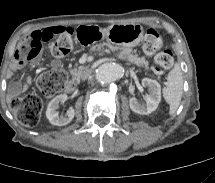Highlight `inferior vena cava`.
Wrapping results in <instances>:
<instances>
[{
    "instance_id": "1",
    "label": "inferior vena cava",
    "mask_w": 215,
    "mask_h": 183,
    "mask_svg": "<svg viewBox=\"0 0 215 183\" xmlns=\"http://www.w3.org/2000/svg\"><path fill=\"white\" fill-rule=\"evenodd\" d=\"M92 71L90 69H86L81 74V79L86 80L91 77Z\"/></svg>"
}]
</instances>
